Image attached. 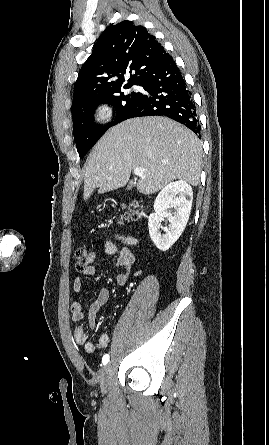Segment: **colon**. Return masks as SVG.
Here are the masks:
<instances>
[{
  "label": "colon",
  "mask_w": 269,
  "mask_h": 445,
  "mask_svg": "<svg viewBox=\"0 0 269 445\" xmlns=\"http://www.w3.org/2000/svg\"><path fill=\"white\" fill-rule=\"evenodd\" d=\"M132 206H136V203H133ZM133 219H137V215L126 210L120 216L119 221L123 222ZM75 260L76 270L84 271L94 262L95 253L87 247H78L75 251Z\"/></svg>",
  "instance_id": "colon-1"
}]
</instances>
